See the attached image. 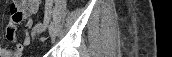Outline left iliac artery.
I'll return each instance as SVG.
<instances>
[{
  "label": "left iliac artery",
  "instance_id": "obj_1",
  "mask_svg": "<svg viewBox=\"0 0 172 57\" xmlns=\"http://www.w3.org/2000/svg\"><path fill=\"white\" fill-rule=\"evenodd\" d=\"M46 4H47V5L49 6V8H50L49 14L51 15V13H52L51 9H52V5H53V1H52V0H47V1H46ZM53 21H54L55 23H57V17H56V15H55V13H53Z\"/></svg>",
  "mask_w": 172,
  "mask_h": 57
}]
</instances>
